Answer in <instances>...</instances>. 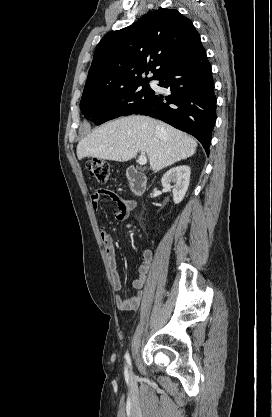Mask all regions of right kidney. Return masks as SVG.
<instances>
[{
  "mask_svg": "<svg viewBox=\"0 0 272 417\" xmlns=\"http://www.w3.org/2000/svg\"><path fill=\"white\" fill-rule=\"evenodd\" d=\"M191 170L189 166L180 165L167 171L162 179V186L166 189L172 188L173 201L175 204L180 203L189 186ZM171 183L174 185L172 186Z\"/></svg>",
  "mask_w": 272,
  "mask_h": 417,
  "instance_id": "1",
  "label": "right kidney"
}]
</instances>
